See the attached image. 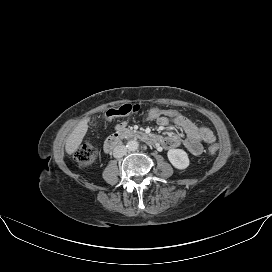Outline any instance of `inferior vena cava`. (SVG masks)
I'll return each instance as SVG.
<instances>
[{"instance_id":"inferior-vena-cava-1","label":"inferior vena cava","mask_w":272,"mask_h":272,"mask_svg":"<svg viewBox=\"0 0 272 272\" xmlns=\"http://www.w3.org/2000/svg\"><path fill=\"white\" fill-rule=\"evenodd\" d=\"M127 153V148L124 145H118L113 150V156L115 158H121Z\"/></svg>"}]
</instances>
